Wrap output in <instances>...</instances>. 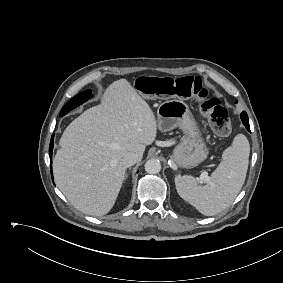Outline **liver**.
Returning <instances> with one entry per match:
<instances>
[{
	"mask_svg": "<svg viewBox=\"0 0 283 283\" xmlns=\"http://www.w3.org/2000/svg\"><path fill=\"white\" fill-rule=\"evenodd\" d=\"M156 136L150 106L126 79L117 80L100 105L84 111L65 129L53 159L56 185L77 209L105 215L125 178L123 156L133 152L141 161Z\"/></svg>",
	"mask_w": 283,
	"mask_h": 283,
	"instance_id": "obj_1",
	"label": "liver"
}]
</instances>
